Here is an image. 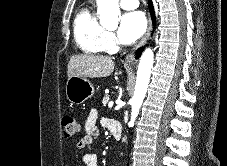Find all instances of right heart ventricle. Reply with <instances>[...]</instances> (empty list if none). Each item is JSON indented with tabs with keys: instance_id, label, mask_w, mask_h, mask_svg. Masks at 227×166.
Returning a JSON list of instances; mask_svg holds the SVG:
<instances>
[{
	"instance_id": "1",
	"label": "right heart ventricle",
	"mask_w": 227,
	"mask_h": 166,
	"mask_svg": "<svg viewBox=\"0 0 227 166\" xmlns=\"http://www.w3.org/2000/svg\"><path fill=\"white\" fill-rule=\"evenodd\" d=\"M74 40L78 48L87 54L106 50V28L99 22L91 6L80 9L74 19Z\"/></svg>"
}]
</instances>
